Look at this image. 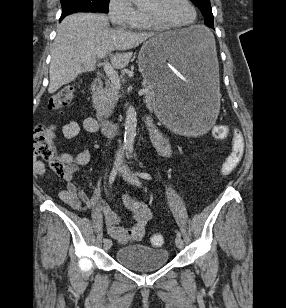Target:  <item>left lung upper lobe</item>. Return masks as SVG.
Listing matches in <instances>:
<instances>
[{
  "label": "left lung upper lobe",
  "mask_w": 286,
  "mask_h": 308,
  "mask_svg": "<svg viewBox=\"0 0 286 308\" xmlns=\"http://www.w3.org/2000/svg\"><path fill=\"white\" fill-rule=\"evenodd\" d=\"M201 11L205 17L204 23L213 28V14L211 10L210 0H191Z\"/></svg>",
  "instance_id": "1"
}]
</instances>
